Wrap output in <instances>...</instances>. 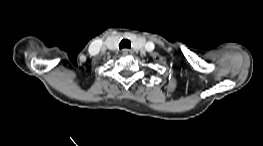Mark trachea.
<instances>
[{
  "instance_id": "1",
  "label": "trachea",
  "mask_w": 263,
  "mask_h": 146,
  "mask_svg": "<svg viewBox=\"0 0 263 146\" xmlns=\"http://www.w3.org/2000/svg\"><path fill=\"white\" fill-rule=\"evenodd\" d=\"M119 48H131V42L128 39H122L119 43Z\"/></svg>"
}]
</instances>
